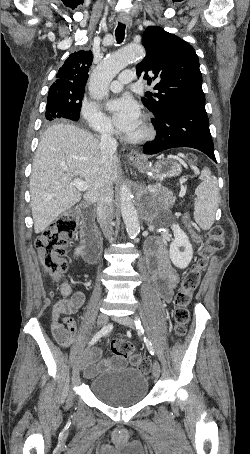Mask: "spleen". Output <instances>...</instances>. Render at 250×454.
Returning a JSON list of instances; mask_svg holds the SVG:
<instances>
[{"instance_id": "1", "label": "spleen", "mask_w": 250, "mask_h": 454, "mask_svg": "<svg viewBox=\"0 0 250 454\" xmlns=\"http://www.w3.org/2000/svg\"><path fill=\"white\" fill-rule=\"evenodd\" d=\"M200 180L195 189L194 219L200 228L208 230L214 223L218 208V182L207 167L201 171Z\"/></svg>"}]
</instances>
